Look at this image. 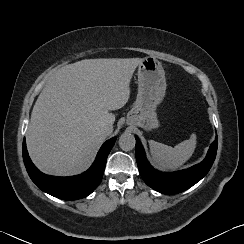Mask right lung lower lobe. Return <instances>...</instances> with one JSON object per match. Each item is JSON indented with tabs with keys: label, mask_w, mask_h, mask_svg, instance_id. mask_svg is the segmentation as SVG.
<instances>
[{
	"label": "right lung lower lobe",
	"mask_w": 244,
	"mask_h": 244,
	"mask_svg": "<svg viewBox=\"0 0 244 244\" xmlns=\"http://www.w3.org/2000/svg\"><path fill=\"white\" fill-rule=\"evenodd\" d=\"M116 141L113 137L100 148L96 159L86 172L71 177H54L40 172L32 163L23 141V160L32 181L44 192L62 199H81L91 194L100 184L105 170L107 157Z\"/></svg>",
	"instance_id": "98d812e1"
}]
</instances>
